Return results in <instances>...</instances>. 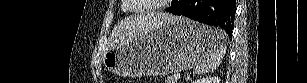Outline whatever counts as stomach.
I'll return each instance as SVG.
<instances>
[{
	"mask_svg": "<svg viewBox=\"0 0 307 83\" xmlns=\"http://www.w3.org/2000/svg\"><path fill=\"white\" fill-rule=\"evenodd\" d=\"M211 28L178 17L149 29L103 56L104 66L123 77L177 73L197 65L213 45Z\"/></svg>",
	"mask_w": 307,
	"mask_h": 83,
	"instance_id": "stomach-1",
	"label": "stomach"
}]
</instances>
